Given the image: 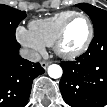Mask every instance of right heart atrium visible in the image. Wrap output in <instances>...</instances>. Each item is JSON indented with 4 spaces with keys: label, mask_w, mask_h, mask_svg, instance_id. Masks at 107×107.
<instances>
[{
    "label": "right heart atrium",
    "mask_w": 107,
    "mask_h": 107,
    "mask_svg": "<svg viewBox=\"0 0 107 107\" xmlns=\"http://www.w3.org/2000/svg\"><path fill=\"white\" fill-rule=\"evenodd\" d=\"M17 40L31 52L42 54L45 46L33 35V33L25 27L19 26L16 30Z\"/></svg>",
    "instance_id": "d8ad5b80"
}]
</instances>
